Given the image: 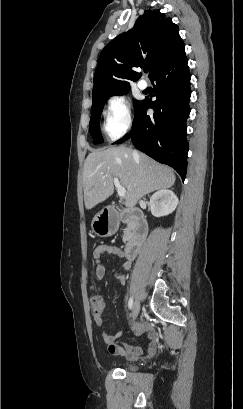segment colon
<instances>
[{
    "label": "colon",
    "instance_id": "colon-1",
    "mask_svg": "<svg viewBox=\"0 0 243 409\" xmlns=\"http://www.w3.org/2000/svg\"><path fill=\"white\" fill-rule=\"evenodd\" d=\"M91 306L95 310L101 309L103 307V298L100 295H94L91 298Z\"/></svg>",
    "mask_w": 243,
    "mask_h": 409
}]
</instances>
